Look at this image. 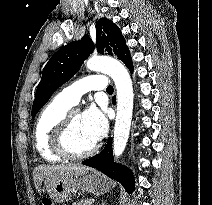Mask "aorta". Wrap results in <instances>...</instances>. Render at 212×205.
Returning a JSON list of instances; mask_svg holds the SVG:
<instances>
[{"label":"aorta","instance_id":"aorta-1","mask_svg":"<svg viewBox=\"0 0 212 205\" xmlns=\"http://www.w3.org/2000/svg\"><path fill=\"white\" fill-rule=\"evenodd\" d=\"M87 68L109 75L117 90V114L114 126L113 154L119 158L124 152L130 133L133 112V86L130 75L119 61L107 56L88 59Z\"/></svg>","mask_w":212,"mask_h":205}]
</instances>
